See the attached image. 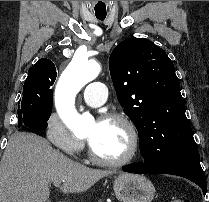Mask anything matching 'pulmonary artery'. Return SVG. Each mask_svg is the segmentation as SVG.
<instances>
[{
    "label": "pulmonary artery",
    "instance_id": "e3ab8cb5",
    "mask_svg": "<svg viewBox=\"0 0 209 202\" xmlns=\"http://www.w3.org/2000/svg\"><path fill=\"white\" fill-rule=\"evenodd\" d=\"M108 86L99 81L88 84L84 90V101L92 107H99L104 104L107 96Z\"/></svg>",
    "mask_w": 209,
    "mask_h": 202
}]
</instances>
